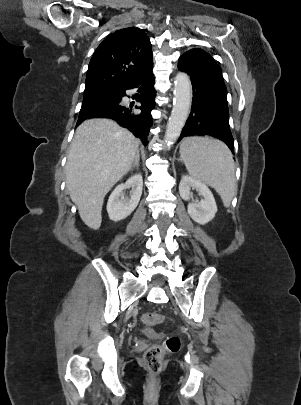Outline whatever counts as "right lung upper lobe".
Returning <instances> with one entry per match:
<instances>
[{"mask_svg": "<svg viewBox=\"0 0 301 405\" xmlns=\"http://www.w3.org/2000/svg\"><path fill=\"white\" fill-rule=\"evenodd\" d=\"M153 65L151 43L139 28L130 27L108 35L94 52L85 90L113 89L121 92Z\"/></svg>", "mask_w": 301, "mask_h": 405, "instance_id": "1", "label": "right lung upper lobe"}]
</instances>
